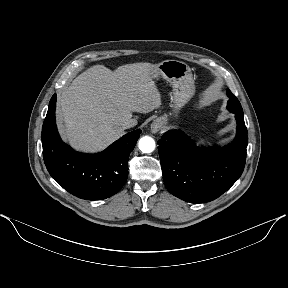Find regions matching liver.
<instances>
[{
    "label": "liver",
    "instance_id": "6515ba94",
    "mask_svg": "<svg viewBox=\"0 0 288 288\" xmlns=\"http://www.w3.org/2000/svg\"><path fill=\"white\" fill-rule=\"evenodd\" d=\"M152 64L134 63L111 71L95 65L62 92L61 134L72 147L86 152L104 149L124 134L132 113L161 106V94L151 74Z\"/></svg>",
    "mask_w": 288,
    "mask_h": 288
}]
</instances>
